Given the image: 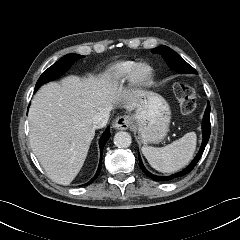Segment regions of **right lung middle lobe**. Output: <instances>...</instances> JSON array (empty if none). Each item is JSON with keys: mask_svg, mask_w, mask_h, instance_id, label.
Instances as JSON below:
<instances>
[{"mask_svg": "<svg viewBox=\"0 0 240 240\" xmlns=\"http://www.w3.org/2000/svg\"><path fill=\"white\" fill-rule=\"evenodd\" d=\"M79 54H68L49 67L38 79L35 91L44 83L61 76L76 60L83 58Z\"/></svg>", "mask_w": 240, "mask_h": 240, "instance_id": "1", "label": "right lung middle lobe"}]
</instances>
